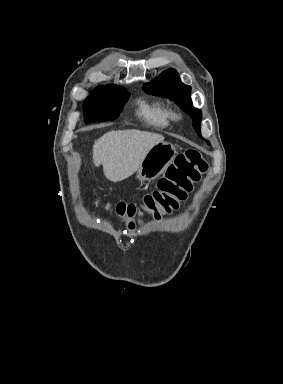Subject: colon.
Returning <instances> with one entry per match:
<instances>
[{"label":"colon","mask_w":283,"mask_h":384,"mask_svg":"<svg viewBox=\"0 0 283 384\" xmlns=\"http://www.w3.org/2000/svg\"><path fill=\"white\" fill-rule=\"evenodd\" d=\"M207 167L199 150L188 149L177 155L166 174L159 179L156 188L144 196L141 205L119 202L114 210L118 216L129 219L135 218L141 210L151 212L155 218L170 213L177 209L178 203L185 199Z\"/></svg>","instance_id":"1"}]
</instances>
